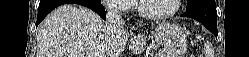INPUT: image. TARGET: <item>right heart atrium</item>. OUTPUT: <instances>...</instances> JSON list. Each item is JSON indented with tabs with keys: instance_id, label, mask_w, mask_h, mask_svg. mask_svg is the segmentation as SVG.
<instances>
[{
	"instance_id": "1",
	"label": "right heart atrium",
	"mask_w": 249,
	"mask_h": 57,
	"mask_svg": "<svg viewBox=\"0 0 249 57\" xmlns=\"http://www.w3.org/2000/svg\"><path fill=\"white\" fill-rule=\"evenodd\" d=\"M104 4L109 10L116 14L127 13L132 8V2L129 0H106Z\"/></svg>"
}]
</instances>
